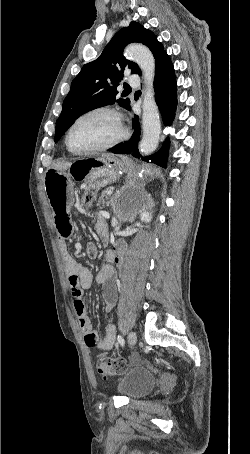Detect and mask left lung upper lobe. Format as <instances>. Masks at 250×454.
I'll return each mask as SVG.
<instances>
[{"mask_svg": "<svg viewBox=\"0 0 250 454\" xmlns=\"http://www.w3.org/2000/svg\"><path fill=\"white\" fill-rule=\"evenodd\" d=\"M132 42L146 45L153 53L155 64L166 54L154 33L139 23L131 22L128 27L122 28L106 45L100 57L85 64L72 81L70 92L56 121L55 141L61 138L78 117L90 110L115 102L129 109L130 100L117 98L116 87L122 81L125 69L141 73L139 66L122 54L125 46Z\"/></svg>", "mask_w": 250, "mask_h": 454, "instance_id": "5c2ea615", "label": "left lung upper lobe"}]
</instances>
